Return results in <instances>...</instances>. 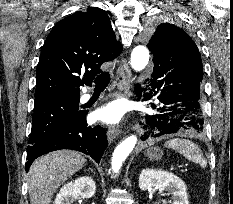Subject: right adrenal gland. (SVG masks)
Instances as JSON below:
<instances>
[{"label": "right adrenal gland", "mask_w": 233, "mask_h": 204, "mask_svg": "<svg viewBox=\"0 0 233 204\" xmlns=\"http://www.w3.org/2000/svg\"><path fill=\"white\" fill-rule=\"evenodd\" d=\"M89 169L93 172V170L91 168H89Z\"/></svg>", "instance_id": "right-adrenal-gland-1"}]
</instances>
